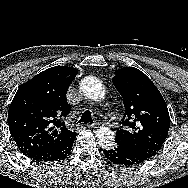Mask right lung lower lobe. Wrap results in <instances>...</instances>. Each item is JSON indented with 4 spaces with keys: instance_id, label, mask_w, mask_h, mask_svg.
Masks as SVG:
<instances>
[{
    "instance_id": "right-lung-lower-lobe-1",
    "label": "right lung lower lobe",
    "mask_w": 188,
    "mask_h": 188,
    "mask_svg": "<svg viewBox=\"0 0 188 188\" xmlns=\"http://www.w3.org/2000/svg\"><path fill=\"white\" fill-rule=\"evenodd\" d=\"M76 134L70 137L66 142L53 147L42 148L34 151H30L26 154L27 157L36 161H54L63 158L72 149Z\"/></svg>"
}]
</instances>
